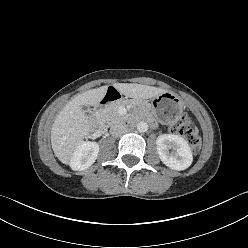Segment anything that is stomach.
Instances as JSON below:
<instances>
[{
	"mask_svg": "<svg viewBox=\"0 0 248 248\" xmlns=\"http://www.w3.org/2000/svg\"><path fill=\"white\" fill-rule=\"evenodd\" d=\"M149 110L161 122L171 123L181 115L183 103L174 93L164 92L152 99Z\"/></svg>",
	"mask_w": 248,
	"mask_h": 248,
	"instance_id": "stomach-1",
	"label": "stomach"
}]
</instances>
